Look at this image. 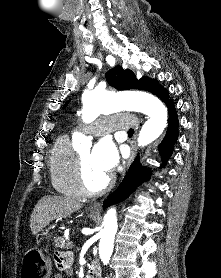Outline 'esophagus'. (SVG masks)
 <instances>
[{
  "mask_svg": "<svg viewBox=\"0 0 221 278\" xmlns=\"http://www.w3.org/2000/svg\"><path fill=\"white\" fill-rule=\"evenodd\" d=\"M135 158V152L134 149L132 147V152H131V156L129 157V159L126 161V169L129 168V166L131 165V163L133 162ZM89 208L93 211H99L101 209V203L97 200H94L93 202L90 203Z\"/></svg>",
  "mask_w": 221,
  "mask_h": 278,
  "instance_id": "1",
  "label": "esophagus"
}]
</instances>
